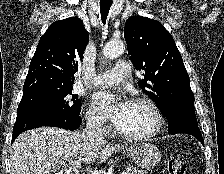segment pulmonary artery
Returning a JSON list of instances; mask_svg holds the SVG:
<instances>
[{
	"label": "pulmonary artery",
	"mask_w": 224,
	"mask_h": 174,
	"mask_svg": "<svg viewBox=\"0 0 224 174\" xmlns=\"http://www.w3.org/2000/svg\"><path fill=\"white\" fill-rule=\"evenodd\" d=\"M129 73V64L118 62L111 70L96 75L92 83L97 86L114 85L125 81Z\"/></svg>",
	"instance_id": "pulmonary-artery-1"
}]
</instances>
